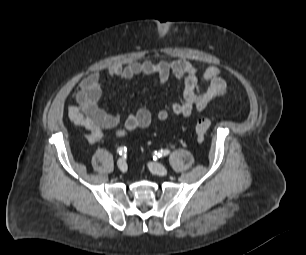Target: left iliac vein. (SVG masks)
Returning <instances> with one entry per match:
<instances>
[{"mask_svg": "<svg viewBox=\"0 0 306 255\" xmlns=\"http://www.w3.org/2000/svg\"><path fill=\"white\" fill-rule=\"evenodd\" d=\"M148 167L151 172L160 176H165L168 173L167 168L160 163L150 162L148 163Z\"/></svg>", "mask_w": 306, "mask_h": 255, "instance_id": "obj_1", "label": "left iliac vein"}]
</instances>
